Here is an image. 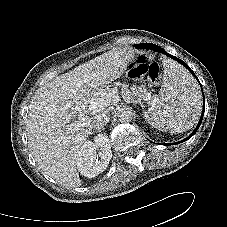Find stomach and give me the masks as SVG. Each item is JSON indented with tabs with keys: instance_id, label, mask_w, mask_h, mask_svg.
<instances>
[{
	"instance_id": "stomach-1",
	"label": "stomach",
	"mask_w": 227,
	"mask_h": 227,
	"mask_svg": "<svg viewBox=\"0 0 227 227\" xmlns=\"http://www.w3.org/2000/svg\"><path fill=\"white\" fill-rule=\"evenodd\" d=\"M118 90V87L114 83H106L100 87H98L95 91L97 97L102 98L108 94L115 95Z\"/></svg>"
}]
</instances>
